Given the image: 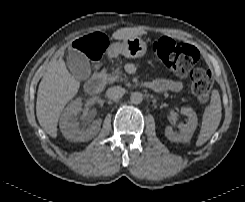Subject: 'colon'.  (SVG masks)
Wrapping results in <instances>:
<instances>
[{
    "label": "colon",
    "mask_w": 245,
    "mask_h": 202,
    "mask_svg": "<svg viewBox=\"0 0 245 202\" xmlns=\"http://www.w3.org/2000/svg\"><path fill=\"white\" fill-rule=\"evenodd\" d=\"M107 39L102 32H94L72 45L78 55H85L93 62H99L106 50ZM154 51L159 61L177 74L189 73L198 62V50L188 44L169 38H160L154 45ZM192 90L195 98L201 104L209 100L213 84L212 74L203 69L191 72Z\"/></svg>",
    "instance_id": "colon-1"
}]
</instances>
